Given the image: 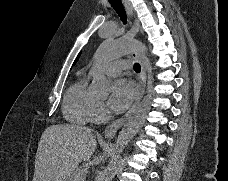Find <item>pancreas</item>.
<instances>
[{"label":"pancreas","instance_id":"obj_1","mask_svg":"<svg viewBox=\"0 0 228 181\" xmlns=\"http://www.w3.org/2000/svg\"><path fill=\"white\" fill-rule=\"evenodd\" d=\"M87 169L83 167H78L69 177V181H86Z\"/></svg>","mask_w":228,"mask_h":181}]
</instances>
